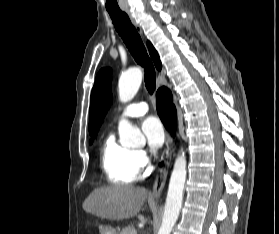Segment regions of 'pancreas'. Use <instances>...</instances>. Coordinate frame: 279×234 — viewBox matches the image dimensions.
<instances>
[{
  "label": "pancreas",
  "instance_id": "obj_1",
  "mask_svg": "<svg viewBox=\"0 0 279 234\" xmlns=\"http://www.w3.org/2000/svg\"><path fill=\"white\" fill-rule=\"evenodd\" d=\"M119 234H136L135 228L131 225L122 229Z\"/></svg>",
  "mask_w": 279,
  "mask_h": 234
}]
</instances>
